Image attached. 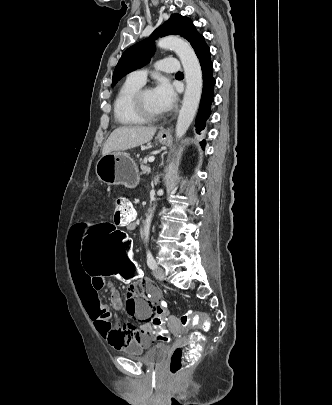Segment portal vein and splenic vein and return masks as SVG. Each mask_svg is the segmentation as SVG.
Wrapping results in <instances>:
<instances>
[{"label":"portal vein and splenic vein","mask_w":332,"mask_h":405,"mask_svg":"<svg viewBox=\"0 0 332 405\" xmlns=\"http://www.w3.org/2000/svg\"><path fill=\"white\" fill-rule=\"evenodd\" d=\"M154 156L149 157V162H153L154 161Z\"/></svg>","instance_id":"18ae733b"}]
</instances>
